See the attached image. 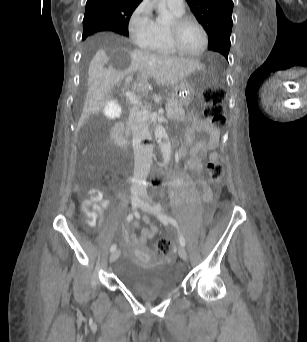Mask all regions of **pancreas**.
I'll return each instance as SVG.
<instances>
[{
  "label": "pancreas",
  "mask_w": 307,
  "mask_h": 342,
  "mask_svg": "<svg viewBox=\"0 0 307 342\" xmlns=\"http://www.w3.org/2000/svg\"><path fill=\"white\" fill-rule=\"evenodd\" d=\"M168 103L174 104V106H169L171 108V112H167L168 118L170 120H179V118H183L185 115V108L183 106H178V96L177 94H169ZM168 106H166L167 108Z\"/></svg>",
  "instance_id": "1"
}]
</instances>
